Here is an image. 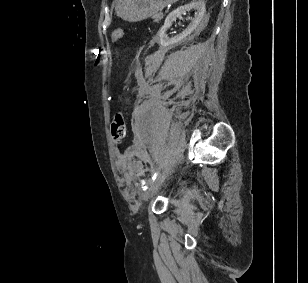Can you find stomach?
Returning <instances> with one entry per match:
<instances>
[{
	"instance_id": "1",
	"label": "stomach",
	"mask_w": 308,
	"mask_h": 283,
	"mask_svg": "<svg viewBox=\"0 0 308 283\" xmlns=\"http://www.w3.org/2000/svg\"><path fill=\"white\" fill-rule=\"evenodd\" d=\"M178 0H116V14L125 21L145 20Z\"/></svg>"
}]
</instances>
